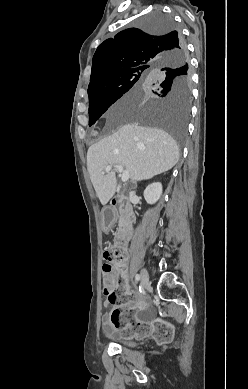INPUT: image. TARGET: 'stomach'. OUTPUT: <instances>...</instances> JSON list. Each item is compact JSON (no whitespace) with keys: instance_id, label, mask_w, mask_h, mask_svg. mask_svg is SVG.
<instances>
[{"instance_id":"obj_1","label":"stomach","mask_w":248,"mask_h":389,"mask_svg":"<svg viewBox=\"0 0 248 389\" xmlns=\"http://www.w3.org/2000/svg\"><path fill=\"white\" fill-rule=\"evenodd\" d=\"M101 218H102V224L104 226H110L111 225V220L114 218V215L111 213V208L110 207H105L103 209Z\"/></svg>"}]
</instances>
